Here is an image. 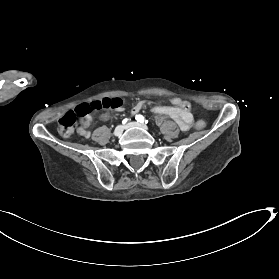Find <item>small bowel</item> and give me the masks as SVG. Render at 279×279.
<instances>
[{"label": "small bowel", "instance_id": "c3829d8e", "mask_svg": "<svg viewBox=\"0 0 279 279\" xmlns=\"http://www.w3.org/2000/svg\"><path fill=\"white\" fill-rule=\"evenodd\" d=\"M146 104V101H139L138 103H136L135 106L132 108V115L135 116L137 113H139ZM172 104L173 106H156L153 108V112L158 116H168L172 118L178 124L179 128L182 131H188L191 128L193 121L191 113H189L181 106L179 98L172 99ZM115 110L121 112L123 111V107L121 106ZM100 118L102 120H108L109 114L102 113L100 115ZM91 121L92 118L89 115L83 119L82 124L78 129V133L81 136L85 138H88L90 136L88 128L91 124Z\"/></svg>", "mask_w": 279, "mask_h": 279}]
</instances>
